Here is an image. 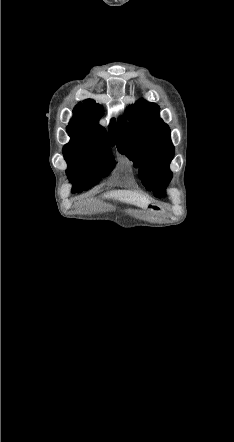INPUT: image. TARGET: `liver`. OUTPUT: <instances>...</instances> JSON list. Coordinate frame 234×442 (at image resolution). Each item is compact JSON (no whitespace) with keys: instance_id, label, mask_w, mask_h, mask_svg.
<instances>
[{"instance_id":"liver-1","label":"liver","mask_w":234,"mask_h":442,"mask_svg":"<svg viewBox=\"0 0 234 442\" xmlns=\"http://www.w3.org/2000/svg\"><path fill=\"white\" fill-rule=\"evenodd\" d=\"M104 197L106 198H112L115 200H119L121 202L130 203L137 205L139 207H146L149 203V201L143 197L142 195L132 192V191H126V190H114L110 191L104 194Z\"/></svg>"}]
</instances>
